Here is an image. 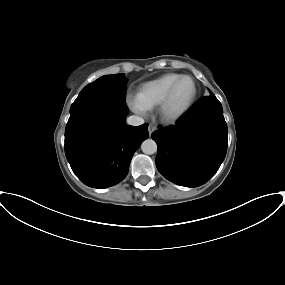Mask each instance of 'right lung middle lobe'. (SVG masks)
<instances>
[{"label":"right lung middle lobe","instance_id":"obj_1","mask_svg":"<svg viewBox=\"0 0 285 285\" xmlns=\"http://www.w3.org/2000/svg\"><path fill=\"white\" fill-rule=\"evenodd\" d=\"M126 83L124 74L102 76L85 86L73 102L70 113L74 112L85 102L97 97H112L125 100Z\"/></svg>","mask_w":285,"mask_h":285}]
</instances>
